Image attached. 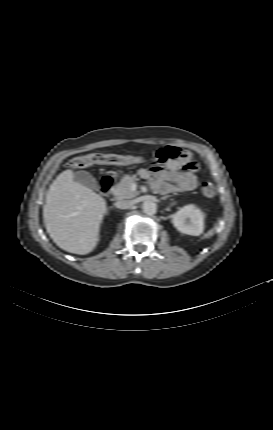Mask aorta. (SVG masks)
Segmentation results:
<instances>
[{
  "instance_id": "aorta-1",
  "label": "aorta",
  "mask_w": 273,
  "mask_h": 430,
  "mask_svg": "<svg viewBox=\"0 0 273 430\" xmlns=\"http://www.w3.org/2000/svg\"><path fill=\"white\" fill-rule=\"evenodd\" d=\"M143 212L147 215H154L157 212V205L152 201H144L142 204Z\"/></svg>"
}]
</instances>
